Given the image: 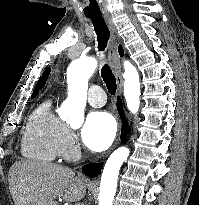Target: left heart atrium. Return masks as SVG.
I'll return each instance as SVG.
<instances>
[{"label": "left heart atrium", "mask_w": 199, "mask_h": 205, "mask_svg": "<svg viewBox=\"0 0 199 205\" xmlns=\"http://www.w3.org/2000/svg\"><path fill=\"white\" fill-rule=\"evenodd\" d=\"M116 122L107 112H91L81 129V138L86 147L93 151L108 148L116 135Z\"/></svg>", "instance_id": "left-heart-atrium-1"}]
</instances>
